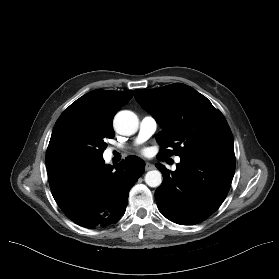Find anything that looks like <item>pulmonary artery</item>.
Masks as SVG:
<instances>
[{"mask_svg": "<svg viewBox=\"0 0 279 279\" xmlns=\"http://www.w3.org/2000/svg\"><path fill=\"white\" fill-rule=\"evenodd\" d=\"M157 129V121L152 116H145L140 122L139 135L137 142H142L152 136ZM111 151V150H110ZM180 158H176V162H179Z\"/></svg>", "mask_w": 279, "mask_h": 279, "instance_id": "pulmonary-artery-1", "label": "pulmonary artery"}]
</instances>
